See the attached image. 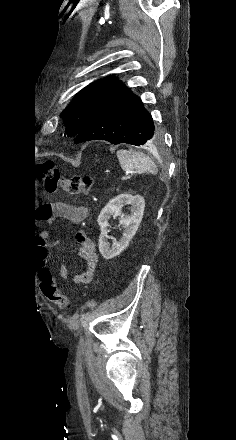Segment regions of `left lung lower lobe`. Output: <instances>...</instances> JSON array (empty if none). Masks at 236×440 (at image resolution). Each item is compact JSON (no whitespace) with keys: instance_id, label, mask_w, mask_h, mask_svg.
Returning <instances> with one entry per match:
<instances>
[{"instance_id":"left-lung-lower-lobe-1","label":"left lung lower lobe","mask_w":236,"mask_h":440,"mask_svg":"<svg viewBox=\"0 0 236 440\" xmlns=\"http://www.w3.org/2000/svg\"><path fill=\"white\" fill-rule=\"evenodd\" d=\"M91 140L152 146L160 142V133L141 100L126 89L83 127L74 143Z\"/></svg>"}]
</instances>
